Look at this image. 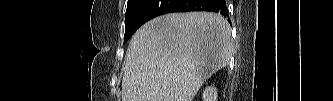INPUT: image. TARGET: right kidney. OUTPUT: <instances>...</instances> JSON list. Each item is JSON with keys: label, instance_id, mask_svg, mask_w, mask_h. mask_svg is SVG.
<instances>
[{"label": "right kidney", "instance_id": "right-kidney-1", "mask_svg": "<svg viewBox=\"0 0 333 101\" xmlns=\"http://www.w3.org/2000/svg\"><path fill=\"white\" fill-rule=\"evenodd\" d=\"M204 101H217V89L215 87H206L203 91Z\"/></svg>", "mask_w": 333, "mask_h": 101}]
</instances>
